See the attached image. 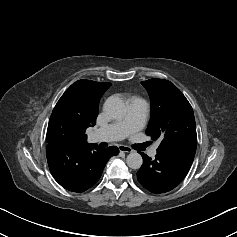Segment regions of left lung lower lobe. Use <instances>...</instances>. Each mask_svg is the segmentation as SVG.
Instances as JSON below:
<instances>
[{"mask_svg":"<svg viewBox=\"0 0 237 237\" xmlns=\"http://www.w3.org/2000/svg\"><path fill=\"white\" fill-rule=\"evenodd\" d=\"M143 165L137 172L139 183L152 193H164L175 188L186 176L192 162L156 154L152 160L144 153Z\"/></svg>","mask_w":237,"mask_h":237,"instance_id":"obj_1","label":"left lung lower lobe"}]
</instances>
